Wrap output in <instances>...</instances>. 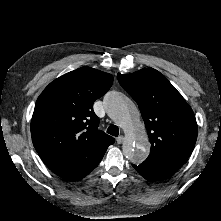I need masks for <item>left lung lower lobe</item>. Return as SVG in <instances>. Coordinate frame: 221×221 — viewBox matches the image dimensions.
I'll return each mask as SVG.
<instances>
[{
	"instance_id": "left-lung-lower-lobe-1",
	"label": "left lung lower lobe",
	"mask_w": 221,
	"mask_h": 221,
	"mask_svg": "<svg viewBox=\"0 0 221 221\" xmlns=\"http://www.w3.org/2000/svg\"><path fill=\"white\" fill-rule=\"evenodd\" d=\"M133 167L150 182L165 180L174 174L171 171L144 164L133 165Z\"/></svg>"
}]
</instances>
